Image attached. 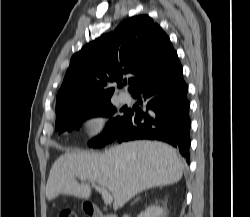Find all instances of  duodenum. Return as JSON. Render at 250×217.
<instances>
[{
    "mask_svg": "<svg viewBox=\"0 0 250 217\" xmlns=\"http://www.w3.org/2000/svg\"><path fill=\"white\" fill-rule=\"evenodd\" d=\"M85 212L89 217H117L112 214L104 213L97 205L91 203L85 204Z\"/></svg>",
    "mask_w": 250,
    "mask_h": 217,
    "instance_id": "duodenum-1",
    "label": "duodenum"
}]
</instances>
